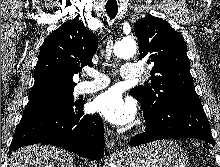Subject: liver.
<instances>
[{
  "label": "liver",
  "mask_w": 220,
  "mask_h": 167,
  "mask_svg": "<svg viewBox=\"0 0 220 167\" xmlns=\"http://www.w3.org/2000/svg\"><path fill=\"white\" fill-rule=\"evenodd\" d=\"M9 167H74L73 155L50 145H30L12 153Z\"/></svg>",
  "instance_id": "6515ba94"
}]
</instances>
